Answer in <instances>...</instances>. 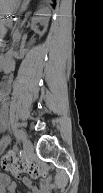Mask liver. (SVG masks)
Instances as JSON below:
<instances>
[{
  "label": "liver",
  "instance_id": "6515ba94",
  "mask_svg": "<svg viewBox=\"0 0 103 193\" xmlns=\"http://www.w3.org/2000/svg\"><path fill=\"white\" fill-rule=\"evenodd\" d=\"M6 2V0H1L0 1V5H1V10L3 11V6H4V3Z\"/></svg>",
  "mask_w": 103,
  "mask_h": 193
}]
</instances>
